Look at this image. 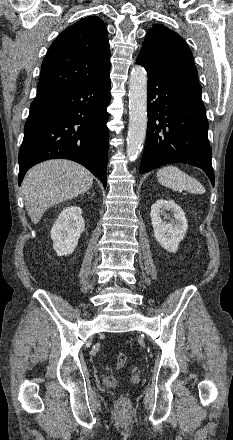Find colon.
Wrapping results in <instances>:
<instances>
[{"mask_svg": "<svg viewBox=\"0 0 233 440\" xmlns=\"http://www.w3.org/2000/svg\"><path fill=\"white\" fill-rule=\"evenodd\" d=\"M127 362V356L123 352L116 354V367L121 369ZM116 409L118 412H127L130 409V401L126 395H121L116 401Z\"/></svg>", "mask_w": 233, "mask_h": 440, "instance_id": "5ec220e1", "label": "colon"}]
</instances>
